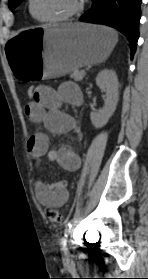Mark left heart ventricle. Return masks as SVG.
<instances>
[{"mask_svg":"<svg viewBox=\"0 0 148 279\" xmlns=\"http://www.w3.org/2000/svg\"><path fill=\"white\" fill-rule=\"evenodd\" d=\"M76 5V0H33V10L41 18L66 14Z\"/></svg>","mask_w":148,"mask_h":279,"instance_id":"left-heart-ventricle-1","label":"left heart ventricle"}]
</instances>
